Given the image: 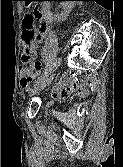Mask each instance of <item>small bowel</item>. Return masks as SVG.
I'll use <instances>...</instances> for the list:
<instances>
[{
  "label": "small bowel",
  "instance_id": "1",
  "mask_svg": "<svg viewBox=\"0 0 123 167\" xmlns=\"http://www.w3.org/2000/svg\"><path fill=\"white\" fill-rule=\"evenodd\" d=\"M48 33L49 31L46 28L42 37H45ZM39 71L40 64H32L27 67H23L20 70V86L24 92H28L30 90L31 81L38 75ZM51 95L53 98H63L69 95L84 98L88 95V90L84 85L72 80L70 77H63L52 87Z\"/></svg>",
  "mask_w": 123,
  "mask_h": 167
}]
</instances>
